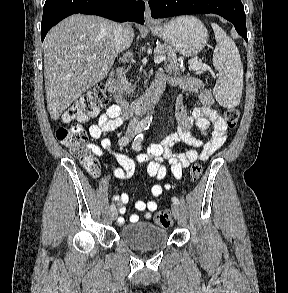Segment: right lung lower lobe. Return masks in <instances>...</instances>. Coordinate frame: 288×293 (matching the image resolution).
Here are the masks:
<instances>
[{
  "mask_svg": "<svg viewBox=\"0 0 288 293\" xmlns=\"http://www.w3.org/2000/svg\"><path fill=\"white\" fill-rule=\"evenodd\" d=\"M145 3L134 0H46L41 39L62 19L75 13L99 15L117 22L144 23Z\"/></svg>",
  "mask_w": 288,
  "mask_h": 293,
  "instance_id": "right-lung-lower-lobe-1",
  "label": "right lung lower lobe"
}]
</instances>
